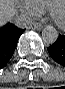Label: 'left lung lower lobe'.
<instances>
[{
    "instance_id": "left-lung-lower-lobe-1",
    "label": "left lung lower lobe",
    "mask_w": 65,
    "mask_h": 89,
    "mask_svg": "<svg viewBox=\"0 0 65 89\" xmlns=\"http://www.w3.org/2000/svg\"><path fill=\"white\" fill-rule=\"evenodd\" d=\"M48 52L54 61L65 66V34H59L56 42L48 48Z\"/></svg>"
}]
</instances>
